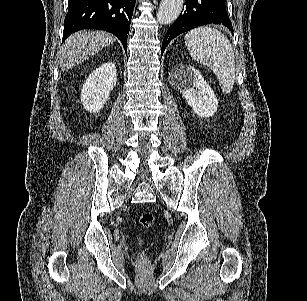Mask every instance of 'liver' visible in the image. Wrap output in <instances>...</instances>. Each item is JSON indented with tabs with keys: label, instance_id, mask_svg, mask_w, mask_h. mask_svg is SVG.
Segmentation results:
<instances>
[{
	"label": "liver",
	"instance_id": "6515ba94",
	"mask_svg": "<svg viewBox=\"0 0 307 301\" xmlns=\"http://www.w3.org/2000/svg\"><path fill=\"white\" fill-rule=\"evenodd\" d=\"M113 40H116V36L103 30H78L70 34L57 52L61 70L81 64Z\"/></svg>",
	"mask_w": 307,
	"mask_h": 301
}]
</instances>
